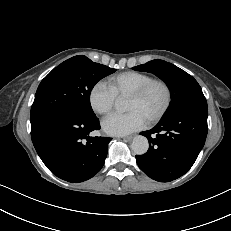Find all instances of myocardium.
I'll return each mask as SVG.
<instances>
[{
    "instance_id": "obj_1",
    "label": "myocardium",
    "mask_w": 231,
    "mask_h": 231,
    "mask_svg": "<svg viewBox=\"0 0 231 231\" xmlns=\"http://www.w3.org/2000/svg\"><path fill=\"white\" fill-rule=\"evenodd\" d=\"M154 86H160L165 93V99L162 107L160 110L150 116L147 120L150 123H157L159 122L169 111L171 104H172V89L167 81L161 78H152L148 82H146L144 85H142L140 88L137 90L133 91L128 95V97L140 100L143 99L149 91L154 87Z\"/></svg>"
}]
</instances>
